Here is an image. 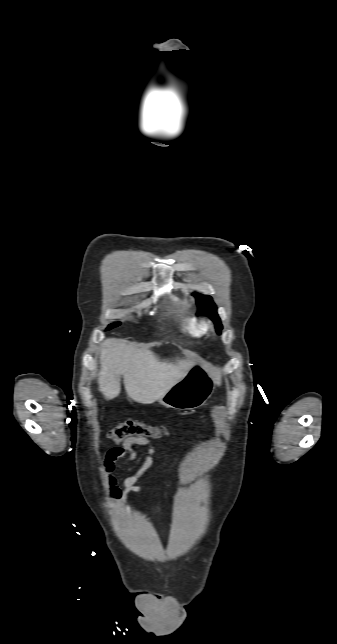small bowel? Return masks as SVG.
<instances>
[{"mask_svg": "<svg viewBox=\"0 0 337 644\" xmlns=\"http://www.w3.org/2000/svg\"><path fill=\"white\" fill-rule=\"evenodd\" d=\"M146 446L147 454L143 459V462L139 469L132 475L126 477L123 480V491L117 486V480L113 475L115 463L119 459H127L129 461H134L137 459V452L134 449V446ZM154 453L155 449L146 438H128L126 439L121 447H114L110 449L106 455L104 461V471L106 473V484L109 491V500L112 505H118L125 492H138L139 489L136 486L138 479L153 465L154 462Z\"/></svg>", "mask_w": 337, "mask_h": 644, "instance_id": "small-bowel-1", "label": "small bowel"}]
</instances>
